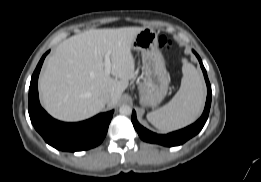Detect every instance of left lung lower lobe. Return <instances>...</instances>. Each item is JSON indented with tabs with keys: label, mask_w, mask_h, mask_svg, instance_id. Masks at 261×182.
Returning <instances> with one entry per match:
<instances>
[{
	"label": "left lung lower lobe",
	"mask_w": 261,
	"mask_h": 182,
	"mask_svg": "<svg viewBox=\"0 0 261 182\" xmlns=\"http://www.w3.org/2000/svg\"><path fill=\"white\" fill-rule=\"evenodd\" d=\"M193 52L195 53L196 57L198 58V60L200 62V66L204 73L205 81L207 84V100H206L205 109H204L202 116L194 124L184 128V129L169 133L167 135H160V134L153 133V132L147 130L146 128H144L143 126H141L136 119L135 111H133L131 120L134 125V128L136 129V131L138 132V134L142 140L149 142V143H156V144H160V145L168 146V147L177 146V145L183 144L184 142H186L187 140H189L190 138L195 136L203 128V126L208 118V114H209V110H210V106H211L212 91H211L210 82L207 77V72L202 64V60L195 51H193Z\"/></svg>",
	"instance_id": "0a47b994"
}]
</instances>
